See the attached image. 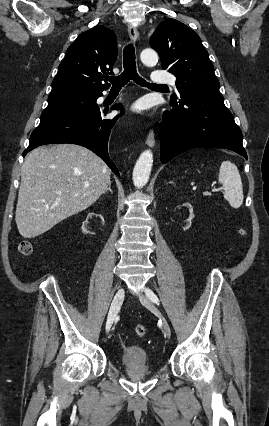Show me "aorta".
Here are the masks:
<instances>
[{
    "mask_svg": "<svg viewBox=\"0 0 269 426\" xmlns=\"http://www.w3.org/2000/svg\"><path fill=\"white\" fill-rule=\"evenodd\" d=\"M140 59L147 66H154L158 62V54L153 49H144L140 54ZM153 165V153L151 150H145L139 156L133 169V184L137 188L144 187L150 177Z\"/></svg>",
    "mask_w": 269,
    "mask_h": 426,
    "instance_id": "obj_1",
    "label": "aorta"
}]
</instances>
